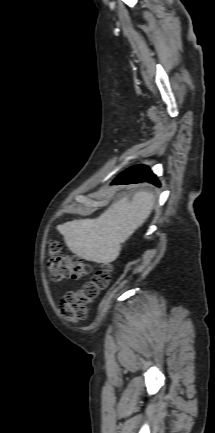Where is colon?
I'll use <instances>...</instances> for the list:
<instances>
[{
  "label": "colon",
  "instance_id": "obj_1",
  "mask_svg": "<svg viewBox=\"0 0 215 433\" xmlns=\"http://www.w3.org/2000/svg\"><path fill=\"white\" fill-rule=\"evenodd\" d=\"M47 265L55 279H79L90 274L89 264L76 256L66 255L58 241H51L48 247ZM111 272L108 267H102L94 273L78 291L67 292L59 305L61 316L70 321H80L86 318V305L93 301L110 283Z\"/></svg>",
  "mask_w": 215,
  "mask_h": 433
}]
</instances>
